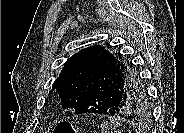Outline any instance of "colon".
<instances>
[{"instance_id": "5ec220e1", "label": "colon", "mask_w": 184, "mask_h": 133, "mask_svg": "<svg viewBox=\"0 0 184 133\" xmlns=\"http://www.w3.org/2000/svg\"><path fill=\"white\" fill-rule=\"evenodd\" d=\"M76 132L77 131L74 129V127L67 122L59 123L54 129V133H76Z\"/></svg>"}]
</instances>
